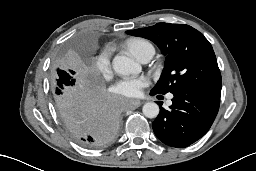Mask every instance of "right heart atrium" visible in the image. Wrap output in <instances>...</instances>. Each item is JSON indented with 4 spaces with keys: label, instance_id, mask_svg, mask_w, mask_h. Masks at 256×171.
I'll return each mask as SVG.
<instances>
[{
    "label": "right heart atrium",
    "instance_id": "1",
    "mask_svg": "<svg viewBox=\"0 0 256 171\" xmlns=\"http://www.w3.org/2000/svg\"><path fill=\"white\" fill-rule=\"evenodd\" d=\"M94 68L103 77H108L111 74L110 53L107 50L96 58Z\"/></svg>",
    "mask_w": 256,
    "mask_h": 171
}]
</instances>
